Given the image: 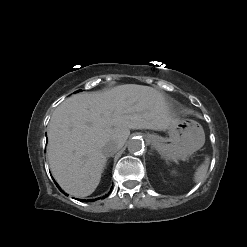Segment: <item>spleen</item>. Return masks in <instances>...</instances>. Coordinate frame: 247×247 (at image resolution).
Masks as SVG:
<instances>
[{
  "mask_svg": "<svg viewBox=\"0 0 247 247\" xmlns=\"http://www.w3.org/2000/svg\"><path fill=\"white\" fill-rule=\"evenodd\" d=\"M209 160H210L209 157H206L204 163H202L196 170L194 174L195 183L202 182L205 179L208 171Z\"/></svg>",
  "mask_w": 247,
  "mask_h": 247,
  "instance_id": "spleen-1",
  "label": "spleen"
}]
</instances>
